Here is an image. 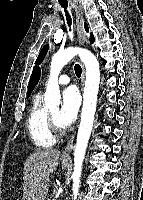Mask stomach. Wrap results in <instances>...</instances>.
Masks as SVG:
<instances>
[{"instance_id":"stomach-1","label":"stomach","mask_w":143,"mask_h":200,"mask_svg":"<svg viewBox=\"0 0 143 200\" xmlns=\"http://www.w3.org/2000/svg\"><path fill=\"white\" fill-rule=\"evenodd\" d=\"M63 168H64V169L66 168V165H65V164H63Z\"/></svg>"}]
</instances>
